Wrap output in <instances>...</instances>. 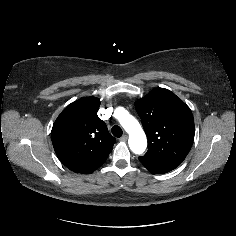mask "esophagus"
Instances as JSON below:
<instances>
[{"mask_svg":"<svg viewBox=\"0 0 236 236\" xmlns=\"http://www.w3.org/2000/svg\"><path fill=\"white\" fill-rule=\"evenodd\" d=\"M127 139H128V136L126 134L120 138V140L123 142L127 141Z\"/></svg>","mask_w":236,"mask_h":236,"instance_id":"esophagus-1","label":"esophagus"}]
</instances>
